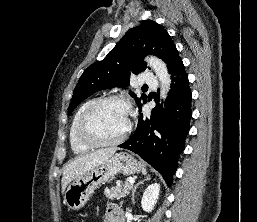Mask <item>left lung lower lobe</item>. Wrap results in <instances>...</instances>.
<instances>
[{
  "label": "left lung lower lobe",
  "instance_id": "obj_1",
  "mask_svg": "<svg viewBox=\"0 0 257 222\" xmlns=\"http://www.w3.org/2000/svg\"><path fill=\"white\" fill-rule=\"evenodd\" d=\"M171 90L163 105L157 104L149 118L140 119L134 134L118 147L138 154L155 168L171 186L177 161L184 150L192 117L191 91L183 62L178 59L169 69Z\"/></svg>",
  "mask_w": 257,
  "mask_h": 222
}]
</instances>
